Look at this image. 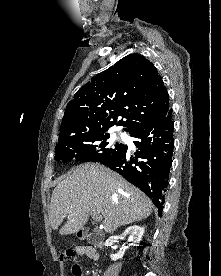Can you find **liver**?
<instances>
[{
	"instance_id": "obj_1",
	"label": "liver",
	"mask_w": 221,
	"mask_h": 276,
	"mask_svg": "<svg viewBox=\"0 0 221 276\" xmlns=\"http://www.w3.org/2000/svg\"><path fill=\"white\" fill-rule=\"evenodd\" d=\"M153 209L152 201L138 188L109 168L94 163L79 165L53 190L50 224L61 235L84 228L91 213L102 214L103 228L113 233L121 226L141 221Z\"/></svg>"
}]
</instances>
